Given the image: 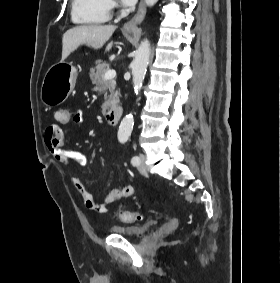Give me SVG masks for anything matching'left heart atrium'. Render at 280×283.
Returning a JSON list of instances; mask_svg holds the SVG:
<instances>
[{
  "mask_svg": "<svg viewBox=\"0 0 280 283\" xmlns=\"http://www.w3.org/2000/svg\"><path fill=\"white\" fill-rule=\"evenodd\" d=\"M121 1L124 5H127V6H132L137 2V0H121Z\"/></svg>",
  "mask_w": 280,
  "mask_h": 283,
  "instance_id": "left-heart-atrium-1",
  "label": "left heart atrium"
}]
</instances>
